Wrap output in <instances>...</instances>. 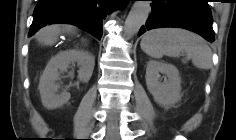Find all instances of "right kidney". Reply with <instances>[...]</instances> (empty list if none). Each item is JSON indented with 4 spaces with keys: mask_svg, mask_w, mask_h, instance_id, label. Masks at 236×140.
<instances>
[{
    "mask_svg": "<svg viewBox=\"0 0 236 140\" xmlns=\"http://www.w3.org/2000/svg\"><path fill=\"white\" fill-rule=\"evenodd\" d=\"M75 63L79 66V81L88 82L93 73L95 59L87 52L77 50L61 52L52 57L47 64L38 86L42 104L47 109L58 108L69 101L71 97L69 92L64 90L58 93V81L60 74Z\"/></svg>",
    "mask_w": 236,
    "mask_h": 140,
    "instance_id": "right-kidney-1",
    "label": "right kidney"
}]
</instances>
